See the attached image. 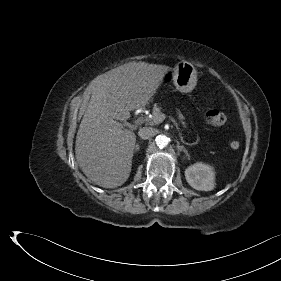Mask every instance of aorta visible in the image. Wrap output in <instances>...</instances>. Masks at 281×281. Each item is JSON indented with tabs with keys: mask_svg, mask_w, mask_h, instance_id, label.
Returning <instances> with one entry per match:
<instances>
[{
	"mask_svg": "<svg viewBox=\"0 0 281 281\" xmlns=\"http://www.w3.org/2000/svg\"><path fill=\"white\" fill-rule=\"evenodd\" d=\"M156 145L159 148H164L169 143V138L165 135H158L155 139Z\"/></svg>",
	"mask_w": 281,
	"mask_h": 281,
	"instance_id": "1",
	"label": "aorta"
}]
</instances>
